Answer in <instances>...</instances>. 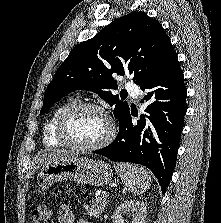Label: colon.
I'll return each mask as SVG.
<instances>
[{"label":"colon","mask_w":221,"mask_h":223,"mask_svg":"<svg viewBox=\"0 0 221 223\" xmlns=\"http://www.w3.org/2000/svg\"><path fill=\"white\" fill-rule=\"evenodd\" d=\"M33 223H53V214L51 209L41 204L33 212Z\"/></svg>","instance_id":"5ec220e1"}]
</instances>
